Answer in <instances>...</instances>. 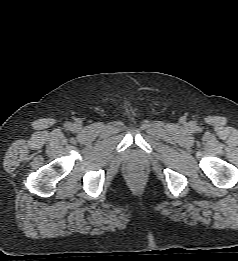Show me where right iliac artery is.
<instances>
[{
  "instance_id": "obj_1",
  "label": "right iliac artery",
  "mask_w": 238,
  "mask_h": 261,
  "mask_svg": "<svg viewBox=\"0 0 238 261\" xmlns=\"http://www.w3.org/2000/svg\"><path fill=\"white\" fill-rule=\"evenodd\" d=\"M71 126H72V124H71L70 122H67V123L65 124V128H66V129H70Z\"/></svg>"
}]
</instances>
